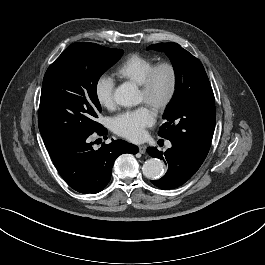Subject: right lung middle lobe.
Segmentation results:
<instances>
[{
	"label": "right lung middle lobe",
	"instance_id": "obj_1",
	"mask_svg": "<svg viewBox=\"0 0 265 265\" xmlns=\"http://www.w3.org/2000/svg\"><path fill=\"white\" fill-rule=\"evenodd\" d=\"M123 50L94 43L71 44L45 73L38 115L47 149L91 134L101 125L96 87L100 76L122 56Z\"/></svg>",
	"mask_w": 265,
	"mask_h": 265
}]
</instances>
